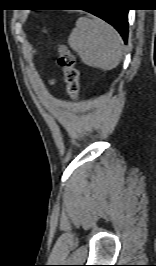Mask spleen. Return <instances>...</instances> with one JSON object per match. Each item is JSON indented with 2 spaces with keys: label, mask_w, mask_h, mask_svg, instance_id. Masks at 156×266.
Returning a JSON list of instances; mask_svg holds the SVG:
<instances>
[{
  "label": "spleen",
  "mask_w": 156,
  "mask_h": 266,
  "mask_svg": "<svg viewBox=\"0 0 156 266\" xmlns=\"http://www.w3.org/2000/svg\"><path fill=\"white\" fill-rule=\"evenodd\" d=\"M68 44L85 65L103 71L116 68L122 58L120 35L99 18L80 17L69 35Z\"/></svg>",
  "instance_id": "1"
}]
</instances>
